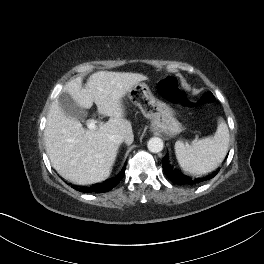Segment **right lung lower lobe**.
Here are the masks:
<instances>
[{
  "instance_id": "obj_1",
  "label": "right lung lower lobe",
  "mask_w": 264,
  "mask_h": 264,
  "mask_svg": "<svg viewBox=\"0 0 264 264\" xmlns=\"http://www.w3.org/2000/svg\"><path fill=\"white\" fill-rule=\"evenodd\" d=\"M124 173H125V168L120 174H118L116 177L108 180L105 183H102V184H99L93 187L80 188L77 190L81 192H87V193L88 192H107L111 190L112 188H114L121 181Z\"/></svg>"
}]
</instances>
